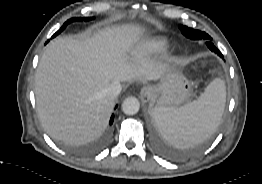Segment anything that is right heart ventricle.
<instances>
[{
	"instance_id": "obj_1",
	"label": "right heart ventricle",
	"mask_w": 262,
	"mask_h": 184,
	"mask_svg": "<svg viewBox=\"0 0 262 184\" xmlns=\"http://www.w3.org/2000/svg\"><path fill=\"white\" fill-rule=\"evenodd\" d=\"M168 42L164 38L155 37L145 41L137 49L138 55H148L153 53H159L166 49Z\"/></svg>"
}]
</instances>
